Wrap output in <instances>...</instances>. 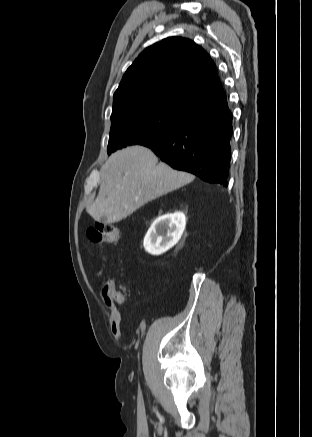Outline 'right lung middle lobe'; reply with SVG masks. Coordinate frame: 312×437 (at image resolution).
Here are the masks:
<instances>
[{"label":"right lung middle lobe","mask_w":312,"mask_h":437,"mask_svg":"<svg viewBox=\"0 0 312 437\" xmlns=\"http://www.w3.org/2000/svg\"><path fill=\"white\" fill-rule=\"evenodd\" d=\"M193 114L177 105L147 102L112 111L108 152L158 140L180 128Z\"/></svg>","instance_id":"1"}]
</instances>
